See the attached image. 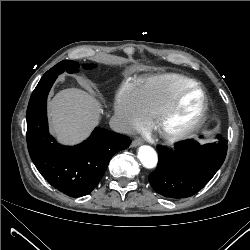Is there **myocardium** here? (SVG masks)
I'll use <instances>...</instances> for the list:
<instances>
[{"mask_svg":"<svg viewBox=\"0 0 250 250\" xmlns=\"http://www.w3.org/2000/svg\"><path fill=\"white\" fill-rule=\"evenodd\" d=\"M191 91L201 95V106L197 116L183 128L168 131L165 126L170 117L176 112L181 100ZM209 109V98L205 89L197 83L190 84L180 89L154 119L153 129L155 134L166 143H175L192 136L203 124Z\"/></svg>","mask_w":250,"mask_h":250,"instance_id":"myocardium-1","label":"myocardium"}]
</instances>
